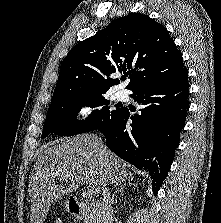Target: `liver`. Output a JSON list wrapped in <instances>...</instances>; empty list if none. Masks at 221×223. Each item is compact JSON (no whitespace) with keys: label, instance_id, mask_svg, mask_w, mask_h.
<instances>
[{"label":"liver","instance_id":"obj_1","mask_svg":"<svg viewBox=\"0 0 221 223\" xmlns=\"http://www.w3.org/2000/svg\"><path fill=\"white\" fill-rule=\"evenodd\" d=\"M99 139L96 135L82 134L40 149L28 190L30 223H43L51 205L78 188L79 183L75 181L63 186L55 180L63 181L75 175L98 195L104 184L120 186L132 179L126 164L106 146H100Z\"/></svg>","mask_w":221,"mask_h":223}]
</instances>
